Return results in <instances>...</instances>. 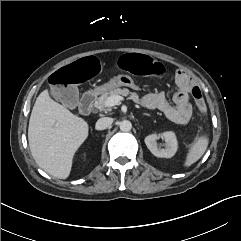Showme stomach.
<instances>
[{"instance_id":"0dacf381","label":"stomach","mask_w":241,"mask_h":241,"mask_svg":"<svg viewBox=\"0 0 241 241\" xmlns=\"http://www.w3.org/2000/svg\"><path fill=\"white\" fill-rule=\"evenodd\" d=\"M122 86L135 88L134 80L132 79V77L130 75L118 74L116 76H113L105 84H103L99 87H96L95 91L96 92H105V91H109V90L115 89L117 87H122Z\"/></svg>"}]
</instances>
